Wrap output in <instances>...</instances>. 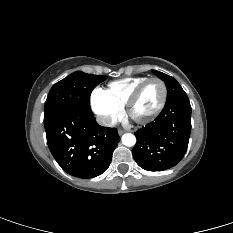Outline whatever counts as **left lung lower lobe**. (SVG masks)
Wrapping results in <instances>:
<instances>
[{
	"instance_id": "1",
	"label": "left lung lower lobe",
	"mask_w": 233,
	"mask_h": 233,
	"mask_svg": "<svg viewBox=\"0 0 233 233\" xmlns=\"http://www.w3.org/2000/svg\"><path fill=\"white\" fill-rule=\"evenodd\" d=\"M190 132L191 105L184 93L166 101L155 121L135 133L132 153L136 163L147 171L175 166L187 151Z\"/></svg>"
}]
</instances>
